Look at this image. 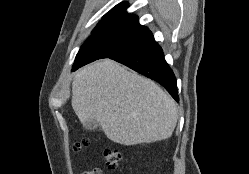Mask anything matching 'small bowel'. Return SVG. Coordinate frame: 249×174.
<instances>
[{"label":"small bowel","instance_id":"c3829d8e","mask_svg":"<svg viewBox=\"0 0 249 174\" xmlns=\"http://www.w3.org/2000/svg\"><path fill=\"white\" fill-rule=\"evenodd\" d=\"M83 174H104L103 171L99 168H94L90 171H86Z\"/></svg>","mask_w":249,"mask_h":174}]
</instances>
